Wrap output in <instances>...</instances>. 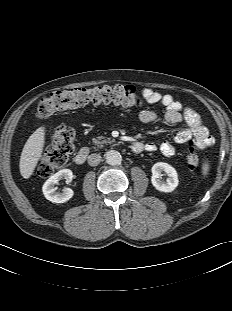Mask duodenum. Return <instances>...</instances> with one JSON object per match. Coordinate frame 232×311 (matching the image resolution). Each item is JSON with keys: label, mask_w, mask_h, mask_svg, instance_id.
I'll list each match as a JSON object with an SVG mask.
<instances>
[{"label": "duodenum", "mask_w": 232, "mask_h": 311, "mask_svg": "<svg viewBox=\"0 0 232 311\" xmlns=\"http://www.w3.org/2000/svg\"><path fill=\"white\" fill-rule=\"evenodd\" d=\"M134 152H141L144 150V145L140 142H135L131 145ZM90 154V149L88 147L81 148L75 155V162L78 165L84 164Z\"/></svg>", "instance_id": "410a0bca"}]
</instances>
